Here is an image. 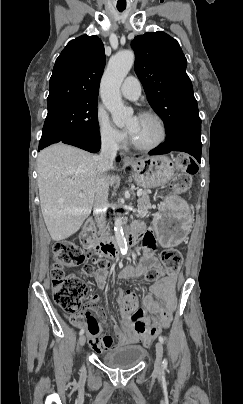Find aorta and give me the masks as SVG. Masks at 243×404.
<instances>
[{
  "label": "aorta",
  "mask_w": 243,
  "mask_h": 404,
  "mask_svg": "<svg viewBox=\"0 0 243 404\" xmlns=\"http://www.w3.org/2000/svg\"><path fill=\"white\" fill-rule=\"evenodd\" d=\"M134 60L133 50L117 52L116 56L110 58L107 70H105L100 84L101 100L106 110L110 112L114 124L119 126V128L125 126L127 120H130L133 116L132 108H126L122 102L120 86L128 72H130ZM116 209L114 236L121 254H127L128 246L123 228L124 212L120 205Z\"/></svg>",
  "instance_id": "762f6f07"
}]
</instances>
